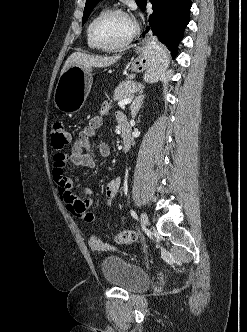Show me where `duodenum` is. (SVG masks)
<instances>
[{
    "mask_svg": "<svg viewBox=\"0 0 247 332\" xmlns=\"http://www.w3.org/2000/svg\"><path fill=\"white\" fill-rule=\"evenodd\" d=\"M118 125L121 130L122 149L124 152H127L131 147L132 140H131L128 121L124 115L118 117Z\"/></svg>",
    "mask_w": 247,
    "mask_h": 332,
    "instance_id": "410a0bca",
    "label": "duodenum"
}]
</instances>
